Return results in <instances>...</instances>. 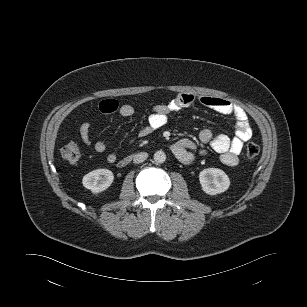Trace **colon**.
<instances>
[{"mask_svg":"<svg viewBox=\"0 0 307 307\" xmlns=\"http://www.w3.org/2000/svg\"><path fill=\"white\" fill-rule=\"evenodd\" d=\"M113 108L115 106L114 101H110ZM260 152V148L256 143H248L246 146L245 154L248 158L256 157ZM62 157L70 163H76L81 157V151L77 144L69 143L62 148Z\"/></svg>","mask_w":307,"mask_h":307,"instance_id":"colon-1","label":"colon"}]
</instances>
